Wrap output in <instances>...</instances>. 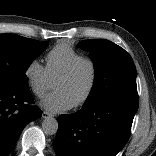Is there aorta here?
I'll return each instance as SVG.
<instances>
[{
	"label": "aorta",
	"mask_w": 156,
	"mask_h": 156,
	"mask_svg": "<svg viewBox=\"0 0 156 156\" xmlns=\"http://www.w3.org/2000/svg\"><path fill=\"white\" fill-rule=\"evenodd\" d=\"M42 129L47 135H54L58 130V122L53 117H46L42 122Z\"/></svg>",
	"instance_id": "aorta-1"
}]
</instances>
